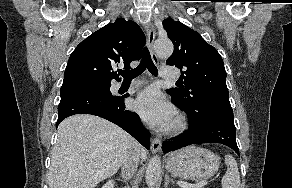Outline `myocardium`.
Masks as SVG:
<instances>
[{"label": "myocardium", "mask_w": 292, "mask_h": 188, "mask_svg": "<svg viewBox=\"0 0 292 188\" xmlns=\"http://www.w3.org/2000/svg\"><path fill=\"white\" fill-rule=\"evenodd\" d=\"M186 128H187V121H186L185 117L178 116L175 119V121L171 127V130L173 133L178 134V133L183 132Z\"/></svg>", "instance_id": "myocardium-1"}]
</instances>
